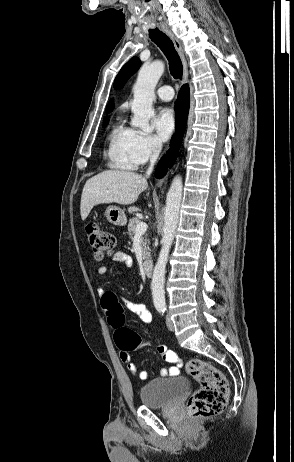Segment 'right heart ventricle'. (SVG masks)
<instances>
[{
  "label": "right heart ventricle",
  "mask_w": 294,
  "mask_h": 462,
  "mask_svg": "<svg viewBox=\"0 0 294 462\" xmlns=\"http://www.w3.org/2000/svg\"><path fill=\"white\" fill-rule=\"evenodd\" d=\"M131 128L116 122L107 135L104 157L108 167L116 170H133L137 164L131 151L133 137Z\"/></svg>",
  "instance_id": "e07e8e85"
}]
</instances>
